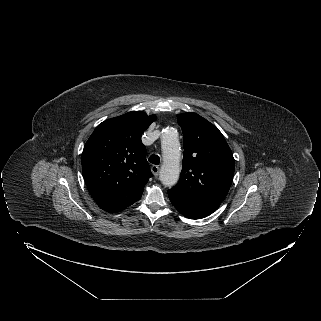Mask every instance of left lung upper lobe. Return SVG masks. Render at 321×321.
<instances>
[{
  "instance_id": "obj_1",
  "label": "left lung upper lobe",
  "mask_w": 321,
  "mask_h": 321,
  "mask_svg": "<svg viewBox=\"0 0 321 321\" xmlns=\"http://www.w3.org/2000/svg\"><path fill=\"white\" fill-rule=\"evenodd\" d=\"M184 154L178 184L172 190L187 197L221 203L233 179L235 161L219 129L200 115H177Z\"/></svg>"
}]
</instances>
